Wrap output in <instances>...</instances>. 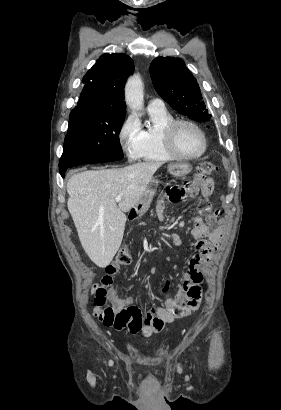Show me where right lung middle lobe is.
Listing matches in <instances>:
<instances>
[{
    "instance_id": "1",
    "label": "right lung middle lobe",
    "mask_w": 281,
    "mask_h": 410,
    "mask_svg": "<svg viewBox=\"0 0 281 410\" xmlns=\"http://www.w3.org/2000/svg\"><path fill=\"white\" fill-rule=\"evenodd\" d=\"M125 113L90 107H75L69 116L59 170L123 158L119 133Z\"/></svg>"
}]
</instances>
